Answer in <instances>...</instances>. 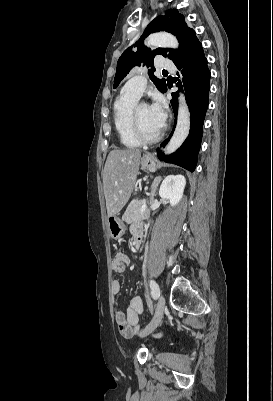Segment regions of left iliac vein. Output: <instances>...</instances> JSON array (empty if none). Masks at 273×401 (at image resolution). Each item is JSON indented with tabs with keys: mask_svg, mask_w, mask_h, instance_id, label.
I'll use <instances>...</instances> for the list:
<instances>
[{
	"mask_svg": "<svg viewBox=\"0 0 273 401\" xmlns=\"http://www.w3.org/2000/svg\"><path fill=\"white\" fill-rule=\"evenodd\" d=\"M165 311V299L161 296L158 300L156 311L152 321L141 331L140 337H146L152 333L159 325Z\"/></svg>",
	"mask_w": 273,
	"mask_h": 401,
	"instance_id": "left-iliac-vein-1",
	"label": "left iliac vein"
}]
</instances>
